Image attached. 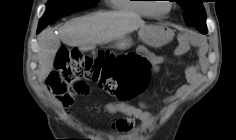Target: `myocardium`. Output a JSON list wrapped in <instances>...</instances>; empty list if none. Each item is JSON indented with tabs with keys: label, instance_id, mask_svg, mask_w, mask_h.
I'll use <instances>...</instances> for the list:
<instances>
[{
	"label": "myocardium",
	"instance_id": "myocardium-1",
	"mask_svg": "<svg viewBox=\"0 0 236 140\" xmlns=\"http://www.w3.org/2000/svg\"><path fill=\"white\" fill-rule=\"evenodd\" d=\"M173 8H174L173 4H172V3H169V9H168V11L165 12V13H162V12H160V11L158 10L156 4H152V5H151V10H152L154 16H156V17H158V18H165V17H167V16L170 14V12L172 11Z\"/></svg>",
	"mask_w": 236,
	"mask_h": 140
}]
</instances>
